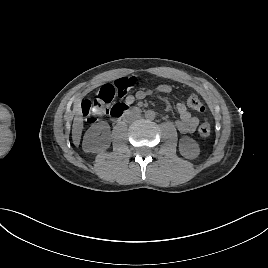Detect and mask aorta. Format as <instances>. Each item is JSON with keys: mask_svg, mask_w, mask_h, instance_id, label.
Returning a JSON list of instances; mask_svg holds the SVG:
<instances>
[{"mask_svg": "<svg viewBox=\"0 0 268 268\" xmlns=\"http://www.w3.org/2000/svg\"><path fill=\"white\" fill-rule=\"evenodd\" d=\"M156 116V113L153 110H148L145 112V118L147 120H154Z\"/></svg>", "mask_w": 268, "mask_h": 268, "instance_id": "aorta-1", "label": "aorta"}]
</instances>
